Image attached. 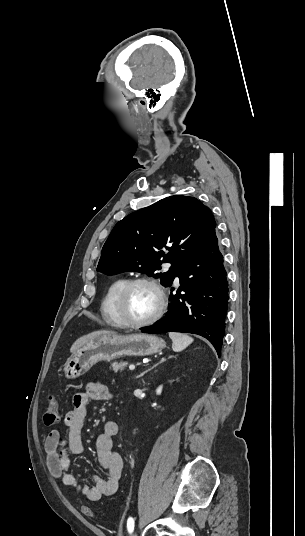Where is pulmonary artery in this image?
Listing matches in <instances>:
<instances>
[{
	"label": "pulmonary artery",
	"mask_w": 305,
	"mask_h": 536,
	"mask_svg": "<svg viewBox=\"0 0 305 536\" xmlns=\"http://www.w3.org/2000/svg\"><path fill=\"white\" fill-rule=\"evenodd\" d=\"M166 267H167V268H170V267H171V263H167V264H166ZM175 281H176L177 283L179 282V277H178L177 275H176V277H175Z\"/></svg>",
	"instance_id": "obj_1"
}]
</instances>
